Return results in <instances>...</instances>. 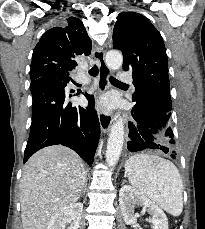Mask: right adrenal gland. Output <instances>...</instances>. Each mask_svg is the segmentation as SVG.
I'll return each instance as SVG.
<instances>
[{
	"label": "right adrenal gland",
	"mask_w": 205,
	"mask_h": 229,
	"mask_svg": "<svg viewBox=\"0 0 205 229\" xmlns=\"http://www.w3.org/2000/svg\"><path fill=\"white\" fill-rule=\"evenodd\" d=\"M85 194V188L81 192V196Z\"/></svg>",
	"instance_id": "2a0ac1e0"
}]
</instances>
